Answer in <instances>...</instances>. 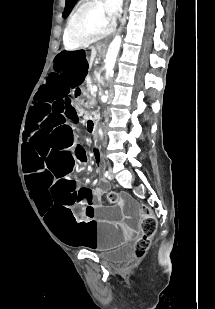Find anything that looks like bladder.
<instances>
[{"label":"bladder","mask_w":215,"mask_h":309,"mask_svg":"<svg viewBox=\"0 0 215 309\" xmlns=\"http://www.w3.org/2000/svg\"><path fill=\"white\" fill-rule=\"evenodd\" d=\"M132 255V251L129 247H120L111 252L101 254L100 257L110 263H121L126 261Z\"/></svg>","instance_id":"obj_1"}]
</instances>
